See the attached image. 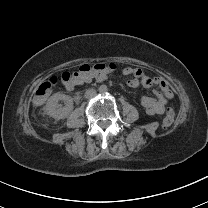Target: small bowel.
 Instances as JSON below:
<instances>
[{"instance_id":"obj_1","label":"small bowel","mask_w":208,"mask_h":208,"mask_svg":"<svg viewBox=\"0 0 208 208\" xmlns=\"http://www.w3.org/2000/svg\"><path fill=\"white\" fill-rule=\"evenodd\" d=\"M123 73L130 77L127 82L130 87L134 88L140 84L148 87L151 85L158 87L154 97L145 96L141 100V104L148 115H161L165 112L169 101L173 98V92L164 78L160 76L151 77L140 68L126 67L124 68ZM107 75L111 76L112 72L108 71L107 74L103 73L102 75H96L94 80L96 82H105L107 80ZM90 80L91 79L71 81L70 85L66 86V88L67 90H72L75 86H81L82 84L88 85Z\"/></svg>"}]
</instances>
